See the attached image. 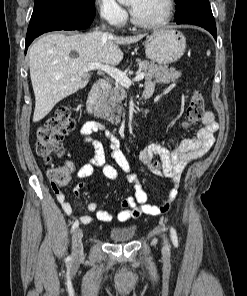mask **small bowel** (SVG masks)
<instances>
[{"label": "small bowel", "mask_w": 247, "mask_h": 296, "mask_svg": "<svg viewBox=\"0 0 247 296\" xmlns=\"http://www.w3.org/2000/svg\"><path fill=\"white\" fill-rule=\"evenodd\" d=\"M154 89L155 83L153 81H147L145 83L144 92L150 91L153 94ZM201 123L202 127L197 131L196 138L184 139L172 150L160 144H153L139 152L138 157L140 162L150 173L168 180L171 184L168 196L160 205L148 203L147 193L143 189L139 178L131 172L127 157L120 149L117 138L110 132L108 148L111 151V156L117 166L126 173L127 181L133 184V193L122 199V210L115 216L107 210L99 208L95 202L88 204V210L95 212V218L105 223L113 221L125 222L139 218L141 215L157 216L167 212L177 195L179 180L185 167L192 160L207 153L214 143V133L218 129V124L213 112L206 111L203 114ZM79 132L83 142L93 148L94 154L77 170V176L94 184V172L96 169H100L106 177L116 179L118 177V171L107 161L105 147L101 142L92 138L94 133L107 132L105 126L97 121H87L81 126ZM156 156L159 157V160L156 159ZM69 168L73 171L71 164H69ZM86 184L87 182H80L74 187L73 193L76 197H80L81 191L85 188ZM55 195L64 212L73 217L74 209L67 200L66 195L59 190L55 191ZM79 220L83 224H91L94 221L92 217L87 215L80 216Z\"/></svg>", "instance_id": "small-bowel-1"}]
</instances>
